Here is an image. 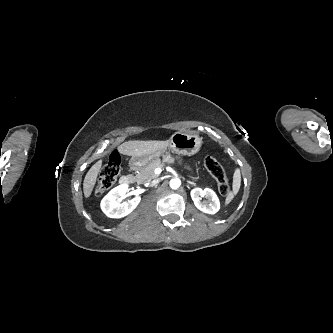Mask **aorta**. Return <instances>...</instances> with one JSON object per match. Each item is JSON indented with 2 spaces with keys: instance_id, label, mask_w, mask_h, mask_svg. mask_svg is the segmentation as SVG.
Returning a JSON list of instances; mask_svg holds the SVG:
<instances>
[{
  "instance_id": "aorta-1",
  "label": "aorta",
  "mask_w": 333,
  "mask_h": 333,
  "mask_svg": "<svg viewBox=\"0 0 333 333\" xmlns=\"http://www.w3.org/2000/svg\"><path fill=\"white\" fill-rule=\"evenodd\" d=\"M181 186V180L179 178H174L170 180V187L172 189H178Z\"/></svg>"
}]
</instances>
